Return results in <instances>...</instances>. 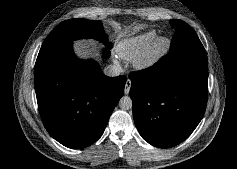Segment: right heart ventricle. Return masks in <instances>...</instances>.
<instances>
[{
    "instance_id": "1",
    "label": "right heart ventricle",
    "mask_w": 237,
    "mask_h": 169,
    "mask_svg": "<svg viewBox=\"0 0 237 169\" xmlns=\"http://www.w3.org/2000/svg\"><path fill=\"white\" fill-rule=\"evenodd\" d=\"M157 37V31L152 29L131 38L123 40L117 47L119 57L132 61L137 58L147 46Z\"/></svg>"
}]
</instances>
